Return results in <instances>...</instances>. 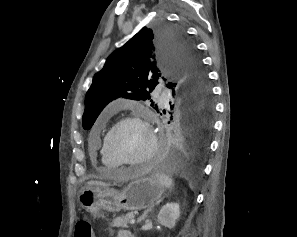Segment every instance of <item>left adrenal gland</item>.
I'll return each instance as SVG.
<instances>
[{"label":"left adrenal gland","instance_id":"a2214340","mask_svg":"<svg viewBox=\"0 0 297 237\" xmlns=\"http://www.w3.org/2000/svg\"><path fill=\"white\" fill-rule=\"evenodd\" d=\"M151 210H152V207L145 210L142 216L138 219L137 223H141L147 217L148 212H150Z\"/></svg>","mask_w":297,"mask_h":237}]
</instances>
